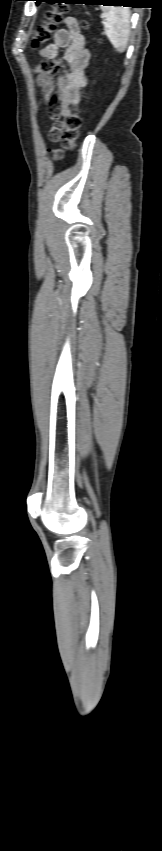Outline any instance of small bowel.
I'll return each mask as SVG.
<instances>
[{"instance_id": "small-bowel-1", "label": "small bowel", "mask_w": 162, "mask_h": 851, "mask_svg": "<svg viewBox=\"0 0 162 851\" xmlns=\"http://www.w3.org/2000/svg\"><path fill=\"white\" fill-rule=\"evenodd\" d=\"M64 28L56 31L52 42L39 51L43 60L37 67V86L44 101L48 104V114L52 119L67 116L71 107L80 99V91L86 84L85 69L90 53L85 47L84 36L78 22L72 17L64 20ZM64 48L62 58L59 49ZM63 68V73L60 72ZM57 96H53L54 92ZM50 132L51 141L58 138Z\"/></svg>"}]
</instances>
